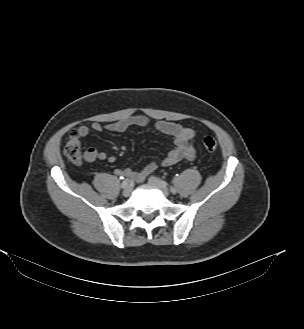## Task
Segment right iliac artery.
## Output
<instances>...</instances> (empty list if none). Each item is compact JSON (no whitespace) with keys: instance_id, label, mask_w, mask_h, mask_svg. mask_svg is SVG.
Listing matches in <instances>:
<instances>
[{"instance_id":"1","label":"right iliac artery","mask_w":304,"mask_h":329,"mask_svg":"<svg viewBox=\"0 0 304 329\" xmlns=\"http://www.w3.org/2000/svg\"><path fill=\"white\" fill-rule=\"evenodd\" d=\"M130 180L127 178L125 180H123L122 184H121V187L122 188H125L128 184H129Z\"/></svg>"}]
</instances>
